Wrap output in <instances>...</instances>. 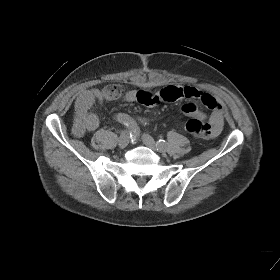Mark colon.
<instances>
[{"label": "colon", "instance_id": "obj_1", "mask_svg": "<svg viewBox=\"0 0 280 280\" xmlns=\"http://www.w3.org/2000/svg\"><path fill=\"white\" fill-rule=\"evenodd\" d=\"M103 92L108 98L114 99L122 96L124 93V89L121 85L114 84L106 87ZM185 128L189 134L201 138L211 137L215 133V129L209 123H204L196 118L188 120Z\"/></svg>", "mask_w": 280, "mask_h": 280}]
</instances>
